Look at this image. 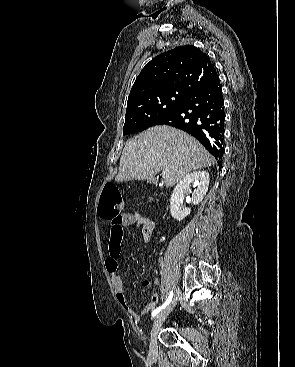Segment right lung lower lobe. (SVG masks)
Segmentation results:
<instances>
[{
  "mask_svg": "<svg viewBox=\"0 0 295 367\" xmlns=\"http://www.w3.org/2000/svg\"><path fill=\"white\" fill-rule=\"evenodd\" d=\"M224 100L219 78L190 94L184 103L155 125H169L192 136L218 160L224 152Z\"/></svg>",
  "mask_w": 295,
  "mask_h": 367,
  "instance_id": "1",
  "label": "right lung lower lobe"
}]
</instances>
